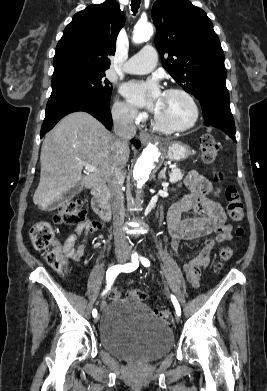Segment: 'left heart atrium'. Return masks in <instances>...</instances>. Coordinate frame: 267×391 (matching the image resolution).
Returning a JSON list of instances; mask_svg holds the SVG:
<instances>
[{
  "label": "left heart atrium",
  "mask_w": 267,
  "mask_h": 391,
  "mask_svg": "<svg viewBox=\"0 0 267 391\" xmlns=\"http://www.w3.org/2000/svg\"><path fill=\"white\" fill-rule=\"evenodd\" d=\"M123 93L133 104L155 112L163 96L157 81L154 79L129 82L124 86Z\"/></svg>",
  "instance_id": "obj_1"
}]
</instances>
